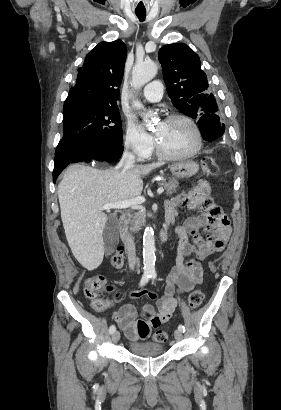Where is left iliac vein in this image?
Here are the masks:
<instances>
[{
	"mask_svg": "<svg viewBox=\"0 0 281 410\" xmlns=\"http://www.w3.org/2000/svg\"><path fill=\"white\" fill-rule=\"evenodd\" d=\"M174 337L177 341H180L183 337L182 332L180 330H175Z\"/></svg>",
	"mask_w": 281,
	"mask_h": 410,
	"instance_id": "1",
	"label": "left iliac vein"
}]
</instances>
